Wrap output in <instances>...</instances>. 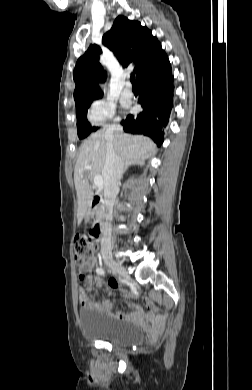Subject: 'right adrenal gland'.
I'll list each match as a JSON object with an SVG mask.
<instances>
[{
    "label": "right adrenal gland",
    "mask_w": 252,
    "mask_h": 390,
    "mask_svg": "<svg viewBox=\"0 0 252 390\" xmlns=\"http://www.w3.org/2000/svg\"><path fill=\"white\" fill-rule=\"evenodd\" d=\"M137 164H142L141 161L139 162H125V166H124V169H123V175L125 174L126 170L128 169L129 166L131 165H137Z\"/></svg>",
    "instance_id": "right-adrenal-gland-1"
}]
</instances>
